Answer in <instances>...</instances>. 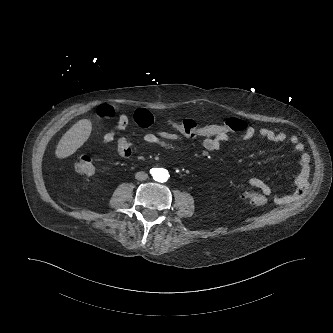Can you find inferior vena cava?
<instances>
[{"instance_id": "inferior-vena-cava-1", "label": "inferior vena cava", "mask_w": 333, "mask_h": 333, "mask_svg": "<svg viewBox=\"0 0 333 333\" xmlns=\"http://www.w3.org/2000/svg\"><path fill=\"white\" fill-rule=\"evenodd\" d=\"M135 178L137 179V180H146L147 178H148V174H146L145 172H137L136 174H135Z\"/></svg>"}]
</instances>
